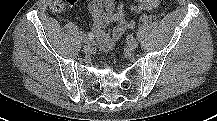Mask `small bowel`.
I'll return each instance as SVG.
<instances>
[{
  "instance_id": "c3829d8e",
  "label": "small bowel",
  "mask_w": 217,
  "mask_h": 121,
  "mask_svg": "<svg viewBox=\"0 0 217 121\" xmlns=\"http://www.w3.org/2000/svg\"><path fill=\"white\" fill-rule=\"evenodd\" d=\"M131 10L139 13L142 11H151L158 7L159 0H135ZM89 10L93 17L94 32L103 51H107L122 37L126 30L135 27L136 22L128 19L124 14L123 4L116 3V0H90ZM115 23V26L107 31L106 27Z\"/></svg>"
}]
</instances>
